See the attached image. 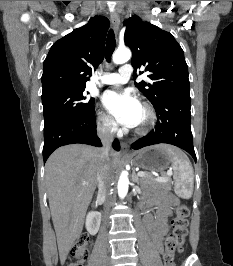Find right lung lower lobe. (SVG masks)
I'll return each mask as SVG.
<instances>
[{"mask_svg": "<svg viewBox=\"0 0 233 266\" xmlns=\"http://www.w3.org/2000/svg\"><path fill=\"white\" fill-rule=\"evenodd\" d=\"M73 143L101 146L96 133L94 110L89 114L61 119L44 127V162L58 147ZM112 146L115 150H120L118 140Z\"/></svg>", "mask_w": 233, "mask_h": 266, "instance_id": "obj_1", "label": "right lung lower lobe"}]
</instances>
